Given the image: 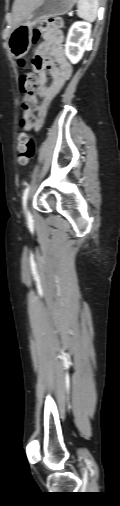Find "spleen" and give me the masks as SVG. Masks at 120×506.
Here are the masks:
<instances>
[{
    "mask_svg": "<svg viewBox=\"0 0 120 506\" xmlns=\"http://www.w3.org/2000/svg\"><path fill=\"white\" fill-rule=\"evenodd\" d=\"M98 0H78L77 14L80 18L93 22L97 16Z\"/></svg>",
    "mask_w": 120,
    "mask_h": 506,
    "instance_id": "1",
    "label": "spleen"
}]
</instances>
